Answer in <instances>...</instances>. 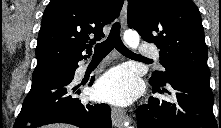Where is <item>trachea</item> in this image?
<instances>
[{"label": "trachea", "instance_id": "1", "mask_svg": "<svg viewBox=\"0 0 221 128\" xmlns=\"http://www.w3.org/2000/svg\"><path fill=\"white\" fill-rule=\"evenodd\" d=\"M114 48L125 56L139 58L138 54H135L134 52L130 51L123 44L121 37H120V23L119 22H116L113 24L108 38L105 41L98 43L95 46L94 57H104L108 55L110 51L113 50Z\"/></svg>", "mask_w": 221, "mask_h": 128}]
</instances>
